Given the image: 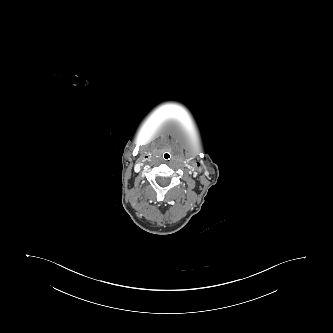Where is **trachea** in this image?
<instances>
[{"instance_id": "trachea-1", "label": "trachea", "mask_w": 333, "mask_h": 333, "mask_svg": "<svg viewBox=\"0 0 333 333\" xmlns=\"http://www.w3.org/2000/svg\"><path fill=\"white\" fill-rule=\"evenodd\" d=\"M164 157H165L166 160H169V159H170V155L167 154V153L164 155Z\"/></svg>"}]
</instances>
